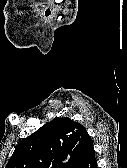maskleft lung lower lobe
<instances>
[{
  "label": "left lung lower lobe",
  "mask_w": 127,
  "mask_h": 168,
  "mask_svg": "<svg viewBox=\"0 0 127 168\" xmlns=\"http://www.w3.org/2000/svg\"><path fill=\"white\" fill-rule=\"evenodd\" d=\"M75 168H97V160L92 139L89 137L84 143Z\"/></svg>",
  "instance_id": "left-lung-lower-lobe-1"
}]
</instances>
